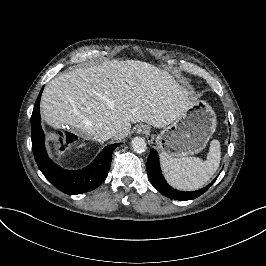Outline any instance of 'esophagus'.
Instances as JSON below:
<instances>
[{"label": "esophagus", "instance_id": "obj_1", "mask_svg": "<svg viewBox=\"0 0 266 266\" xmlns=\"http://www.w3.org/2000/svg\"><path fill=\"white\" fill-rule=\"evenodd\" d=\"M147 131H148V129H147V127H145L144 125H140V126L137 128V130H136V132H137L138 134H146Z\"/></svg>", "mask_w": 266, "mask_h": 266}]
</instances>
